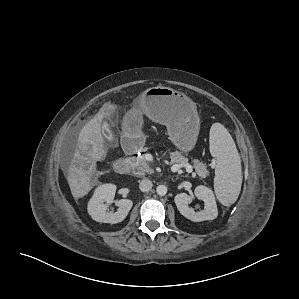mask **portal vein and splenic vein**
<instances>
[{
  "mask_svg": "<svg viewBox=\"0 0 299 299\" xmlns=\"http://www.w3.org/2000/svg\"><path fill=\"white\" fill-rule=\"evenodd\" d=\"M182 166H185L186 171L189 172V173H191L193 171V167L191 165H189V164H185V165H183V164H175V165H173L171 167V171L172 172H177Z\"/></svg>",
  "mask_w": 299,
  "mask_h": 299,
  "instance_id": "portal-vein-and-splenic-vein-1",
  "label": "portal vein and splenic vein"
}]
</instances>
